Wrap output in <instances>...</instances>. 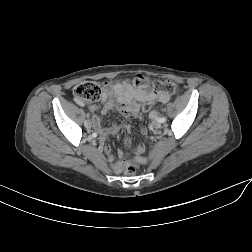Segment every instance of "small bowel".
<instances>
[{
  "label": "small bowel",
  "instance_id": "1",
  "mask_svg": "<svg viewBox=\"0 0 252 252\" xmlns=\"http://www.w3.org/2000/svg\"><path fill=\"white\" fill-rule=\"evenodd\" d=\"M104 94L102 96V109L101 112L106 114L112 110L123 113L125 117L129 116H138L141 112V105H151L156 101L166 103L171 100V96L165 93H154L147 90H140L136 88L132 82L128 79L123 80L118 83H112L111 81H105L104 84ZM80 105H83V102L76 100ZM98 109L97 105H91V112H95ZM93 127L100 134V139L104 140L107 134H116L119 131V126L113 124L108 129H103L101 127V118L99 116L93 117ZM126 129L129 131L130 127L126 126ZM141 135H147V129L141 128ZM126 145H130V139L126 140ZM144 145H139L137 147V152L139 154L143 153ZM104 152L107 155L108 159L112 161V168L114 172L121 173L126 166L127 161L123 158V154L119 153V158L114 159L111 154L110 146L104 147ZM139 162H144L143 158L138 157Z\"/></svg>",
  "mask_w": 252,
  "mask_h": 252
}]
</instances>
